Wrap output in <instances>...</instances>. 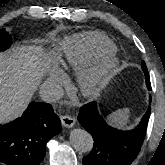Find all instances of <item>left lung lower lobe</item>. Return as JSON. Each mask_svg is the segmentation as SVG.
I'll use <instances>...</instances> for the list:
<instances>
[{
  "label": "left lung lower lobe",
  "mask_w": 165,
  "mask_h": 165,
  "mask_svg": "<svg viewBox=\"0 0 165 165\" xmlns=\"http://www.w3.org/2000/svg\"><path fill=\"white\" fill-rule=\"evenodd\" d=\"M149 117L150 106L134 130L121 131L105 122L97 110L96 102L83 105L78 121L94 139L93 149L83 157V164L130 165L141 149Z\"/></svg>",
  "instance_id": "1"
}]
</instances>
